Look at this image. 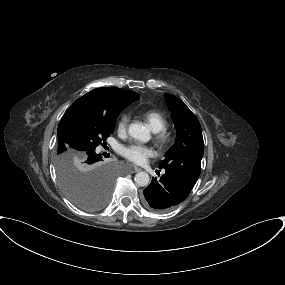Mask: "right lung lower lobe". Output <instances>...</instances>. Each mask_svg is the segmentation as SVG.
<instances>
[{
	"mask_svg": "<svg viewBox=\"0 0 285 285\" xmlns=\"http://www.w3.org/2000/svg\"><path fill=\"white\" fill-rule=\"evenodd\" d=\"M101 156L100 154L97 153H93L91 155L88 156L87 158V165L88 166H97L98 163L101 161Z\"/></svg>",
	"mask_w": 285,
	"mask_h": 285,
	"instance_id": "obj_1",
	"label": "right lung lower lobe"
}]
</instances>
